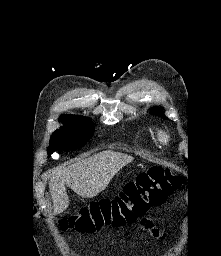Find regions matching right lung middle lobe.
I'll use <instances>...</instances> for the list:
<instances>
[{"label":"right lung middle lobe","mask_w":221,"mask_h":256,"mask_svg":"<svg viewBox=\"0 0 221 256\" xmlns=\"http://www.w3.org/2000/svg\"><path fill=\"white\" fill-rule=\"evenodd\" d=\"M59 120L64 126L52 134L47 150L48 156L56 150L81 148L94 133V126L89 118L68 115L61 116Z\"/></svg>","instance_id":"obj_1"}]
</instances>
